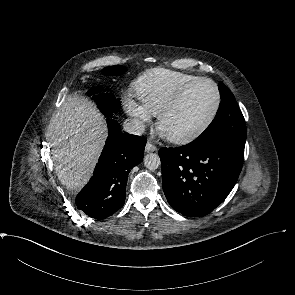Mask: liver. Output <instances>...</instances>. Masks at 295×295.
Wrapping results in <instances>:
<instances>
[{
	"label": "liver",
	"mask_w": 295,
	"mask_h": 295,
	"mask_svg": "<svg viewBox=\"0 0 295 295\" xmlns=\"http://www.w3.org/2000/svg\"><path fill=\"white\" fill-rule=\"evenodd\" d=\"M48 133L55 172L61 184L70 189L82 188L92 174L106 139L103 117L91 103L70 95L51 118Z\"/></svg>",
	"instance_id": "1"
}]
</instances>
